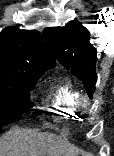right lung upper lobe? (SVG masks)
Segmentation results:
<instances>
[{
  "label": "right lung upper lobe",
  "mask_w": 114,
  "mask_h": 156,
  "mask_svg": "<svg viewBox=\"0 0 114 156\" xmlns=\"http://www.w3.org/2000/svg\"><path fill=\"white\" fill-rule=\"evenodd\" d=\"M55 63L38 31L7 27L0 33V76L42 75Z\"/></svg>",
  "instance_id": "obj_1"
}]
</instances>
